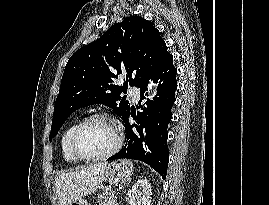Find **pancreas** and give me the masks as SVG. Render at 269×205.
<instances>
[{"label":"pancreas","instance_id":"pancreas-1","mask_svg":"<svg viewBox=\"0 0 269 205\" xmlns=\"http://www.w3.org/2000/svg\"><path fill=\"white\" fill-rule=\"evenodd\" d=\"M99 205H118L116 197L112 196L99 202Z\"/></svg>","mask_w":269,"mask_h":205}]
</instances>
